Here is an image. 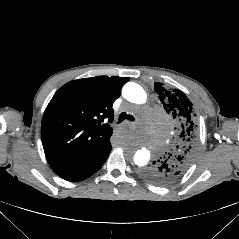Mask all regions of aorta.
Returning <instances> with one entry per match:
<instances>
[{
	"mask_svg": "<svg viewBox=\"0 0 239 239\" xmlns=\"http://www.w3.org/2000/svg\"><path fill=\"white\" fill-rule=\"evenodd\" d=\"M123 97L136 104H143L146 102L147 95L144 89L134 83V82H129L125 84L122 90ZM152 152H150L148 147H141L138 149V147L134 148V154H133V162L135 165L138 167H144L147 165L151 159Z\"/></svg>",
	"mask_w": 239,
	"mask_h": 239,
	"instance_id": "762f6f07",
	"label": "aorta"
}]
</instances>
